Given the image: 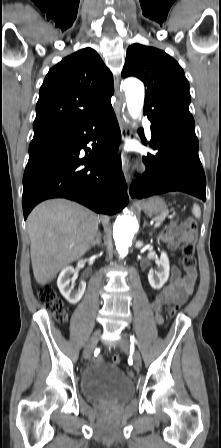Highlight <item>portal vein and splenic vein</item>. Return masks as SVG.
Instances as JSON below:
<instances>
[{
    "label": "portal vein and splenic vein",
    "mask_w": 221,
    "mask_h": 448,
    "mask_svg": "<svg viewBox=\"0 0 221 448\" xmlns=\"http://www.w3.org/2000/svg\"><path fill=\"white\" fill-rule=\"evenodd\" d=\"M160 225H161V222L156 221L155 224H154V227H155V228H158Z\"/></svg>",
    "instance_id": "obj_1"
}]
</instances>
